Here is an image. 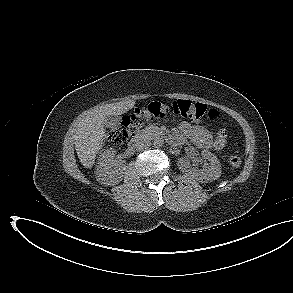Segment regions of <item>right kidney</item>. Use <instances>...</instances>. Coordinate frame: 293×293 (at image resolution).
<instances>
[{"label": "right kidney", "mask_w": 293, "mask_h": 293, "mask_svg": "<svg viewBox=\"0 0 293 293\" xmlns=\"http://www.w3.org/2000/svg\"><path fill=\"white\" fill-rule=\"evenodd\" d=\"M114 149L110 148L101 153L96 169V178L101 184H116L120 179L126 164L122 160H116Z\"/></svg>", "instance_id": "obj_1"}]
</instances>
